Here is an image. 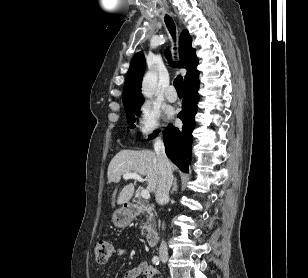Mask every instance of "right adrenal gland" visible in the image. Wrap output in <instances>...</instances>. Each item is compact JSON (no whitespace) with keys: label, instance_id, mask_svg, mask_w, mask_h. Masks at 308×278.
<instances>
[{"label":"right adrenal gland","instance_id":"right-adrenal-gland-1","mask_svg":"<svg viewBox=\"0 0 308 278\" xmlns=\"http://www.w3.org/2000/svg\"><path fill=\"white\" fill-rule=\"evenodd\" d=\"M174 191H177V179H176V177L174 178V183H173V187H172V190H171V194H173Z\"/></svg>","mask_w":308,"mask_h":278}]
</instances>
